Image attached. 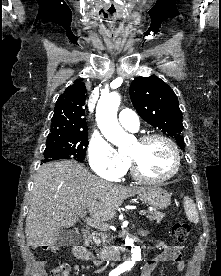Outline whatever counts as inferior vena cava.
Segmentation results:
<instances>
[{
    "instance_id": "inferior-vena-cava-1",
    "label": "inferior vena cava",
    "mask_w": 221,
    "mask_h": 276,
    "mask_svg": "<svg viewBox=\"0 0 221 276\" xmlns=\"http://www.w3.org/2000/svg\"><path fill=\"white\" fill-rule=\"evenodd\" d=\"M111 259L113 261H120V252L114 250L112 253H111Z\"/></svg>"
}]
</instances>
